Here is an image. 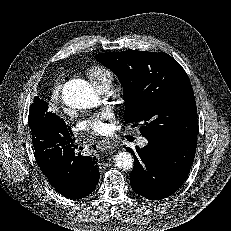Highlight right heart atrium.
<instances>
[{
    "label": "right heart atrium",
    "mask_w": 231,
    "mask_h": 231,
    "mask_svg": "<svg viewBox=\"0 0 231 231\" xmlns=\"http://www.w3.org/2000/svg\"><path fill=\"white\" fill-rule=\"evenodd\" d=\"M63 82H64V79L62 77H59L55 80V83H54L53 89H52L53 98L57 99L60 96Z\"/></svg>",
    "instance_id": "right-heart-atrium-1"
}]
</instances>
